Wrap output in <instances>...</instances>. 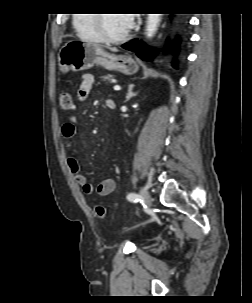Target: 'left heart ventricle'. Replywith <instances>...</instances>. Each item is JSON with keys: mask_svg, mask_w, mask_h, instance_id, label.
Wrapping results in <instances>:
<instances>
[{"mask_svg": "<svg viewBox=\"0 0 252 303\" xmlns=\"http://www.w3.org/2000/svg\"><path fill=\"white\" fill-rule=\"evenodd\" d=\"M104 18V29L111 36H120L129 28L124 14L110 13Z\"/></svg>", "mask_w": 252, "mask_h": 303, "instance_id": "b2bd125f", "label": "left heart ventricle"}]
</instances>
